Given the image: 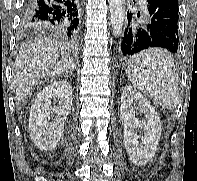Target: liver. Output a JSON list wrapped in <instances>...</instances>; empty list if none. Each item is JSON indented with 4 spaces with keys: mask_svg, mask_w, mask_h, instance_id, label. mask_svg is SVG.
<instances>
[{
    "mask_svg": "<svg viewBox=\"0 0 197 181\" xmlns=\"http://www.w3.org/2000/svg\"><path fill=\"white\" fill-rule=\"evenodd\" d=\"M74 69L73 60L60 43L35 39L21 49L13 65L11 88L15 101L23 102L40 79L67 74Z\"/></svg>",
    "mask_w": 197,
    "mask_h": 181,
    "instance_id": "obj_1",
    "label": "liver"
}]
</instances>
